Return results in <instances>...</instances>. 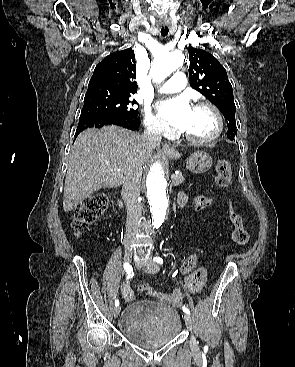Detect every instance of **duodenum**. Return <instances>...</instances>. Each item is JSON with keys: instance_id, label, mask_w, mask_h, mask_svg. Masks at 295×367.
Segmentation results:
<instances>
[{"instance_id": "obj_1", "label": "duodenum", "mask_w": 295, "mask_h": 367, "mask_svg": "<svg viewBox=\"0 0 295 367\" xmlns=\"http://www.w3.org/2000/svg\"><path fill=\"white\" fill-rule=\"evenodd\" d=\"M119 203H120V206L123 207V201L120 200Z\"/></svg>"}]
</instances>
